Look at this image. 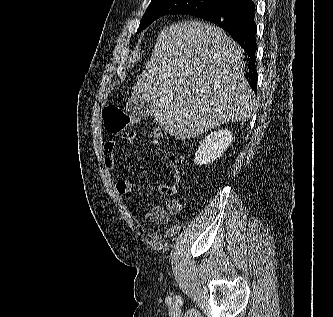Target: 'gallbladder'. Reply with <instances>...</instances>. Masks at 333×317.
<instances>
[{
	"mask_svg": "<svg viewBox=\"0 0 333 317\" xmlns=\"http://www.w3.org/2000/svg\"><path fill=\"white\" fill-rule=\"evenodd\" d=\"M155 105L152 101H147L145 99L133 100L129 99L126 103L127 111L137 117H143L147 115H152Z\"/></svg>",
	"mask_w": 333,
	"mask_h": 317,
	"instance_id": "obj_1",
	"label": "gallbladder"
}]
</instances>
